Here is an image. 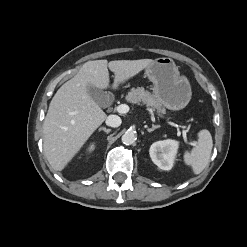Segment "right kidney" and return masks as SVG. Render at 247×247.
<instances>
[{"instance_id":"obj_1","label":"right kidney","mask_w":247,"mask_h":247,"mask_svg":"<svg viewBox=\"0 0 247 247\" xmlns=\"http://www.w3.org/2000/svg\"><path fill=\"white\" fill-rule=\"evenodd\" d=\"M95 149V145L91 144L90 147L88 148L89 152H92Z\"/></svg>"}]
</instances>
